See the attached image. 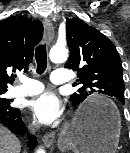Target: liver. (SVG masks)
Masks as SVG:
<instances>
[{
	"instance_id": "6515ba94",
	"label": "liver",
	"mask_w": 130,
	"mask_h": 153,
	"mask_svg": "<svg viewBox=\"0 0 130 153\" xmlns=\"http://www.w3.org/2000/svg\"><path fill=\"white\" fill-rule=\"evenodd\" d=\"M18 138L0 124V153H20Z\"/></svg>"
}]
</instances>
